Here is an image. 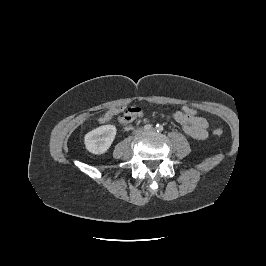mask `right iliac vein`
Wrapping results in <instances>:
<instances>
[{
	"label": "right iliac vein",
	"instance_id": "right-iliac-vein-1",
	"mask_svg": "<svg viewBox=\"0 0 266 266\" xmlns=\"http://www.w3.org/2000/svg\"><path fill=\"white\" fill-rule=\"evenodd\" d=\"M143 132H144V129H142V128H138L135 130L136 134H142Z\"/></svg>",
	"mask_w": 266,
	"mask_h": 266
}]
</instances>
